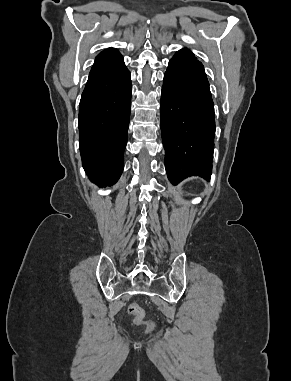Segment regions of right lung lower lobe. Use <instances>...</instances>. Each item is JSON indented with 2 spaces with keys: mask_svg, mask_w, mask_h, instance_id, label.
<instances>
[{
  "mask_svg": "<svg viewBox=\"0 0 291 381\" xmlns=\"http://www.w3.org/2000/svg\"><path fill=\"white\" fill-rule=\"evenodd\" d=\"M131 108V79L115 48L95 58L79 105L83 168L99 186H112L123 171Z\"/></svg>",
  "mask_w": 291,
  "mask_h": 381,
  "instance_id": "obj_1",
  "label": "right lung lower lobe"
}]
</instances>
